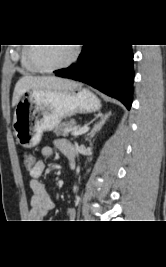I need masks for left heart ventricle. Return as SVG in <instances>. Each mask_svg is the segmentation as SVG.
<instances>
[{
	"label": "left heart ventricle",
	"mask_w": 166,
	"mask_h": 267,
	"mask_svg": "<svg viewBox=\"0 0 166 267\" xmlns=\"http://www.w3.org/2000/svg\"><path fill=\"white\" fill-rule=\"evenodd\" d=\"M73 51L71 46H36L34 48L35 60L46 67L56 66L69 59Z\"/></svg>",
	"instance_id": "b2bd125f"
}]
</instances>
